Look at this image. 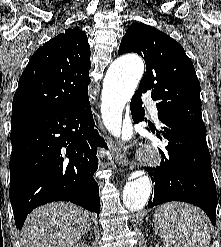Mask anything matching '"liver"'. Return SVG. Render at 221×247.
I'll return each mask as SVG.
<instances>
[{"instance_id": "1", "label": "liver", "mask_w": 221, "mask_h": 247, "mask_svg": "<svg viewBox=\"0 0 221 247\" xmlns=\"http://www.w3.org/2000/svg\"><path fill=\"white\" fill-rule=\"evenodd\" d=\"M89 213L67 202L35 209L21 230L22 247H73L88 230Z\"/></svg>"}]
</instances>
